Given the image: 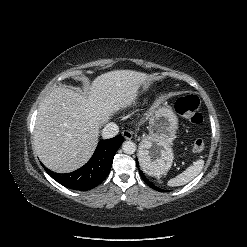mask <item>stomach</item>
<instances>
[{"label": "stomach", "mask_w": 247, "mask_h": 247, "mask_svg": "<svg viewBox=\"0 0 247 247\" xmlns=\"http://www.w3.org/2000/svg\"><path fill=\"white\" fill-rule=\"evenodd\" d=\"M177 130L178 118L170 107L156 106L152 110L149 135L142 138L138 151L140 166L146 174L160 177L170 170Z\"/></svg>", "instance_id": "1"}]
</instances>
